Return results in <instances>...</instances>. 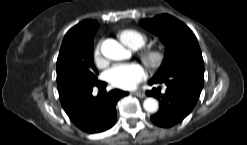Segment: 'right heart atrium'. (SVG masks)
<instances>
[{
  "label": "right heart atrium",
  "instance_id": "1",
  "mask_svg": "<svg viewBox=\"0 0 247 145\" xmlns=\"http://www.w3.org/2000/svg\"><path fill=\"white\" fill-rule=\"evenodd\" d=\"M92 58H93V62L95 63V65L97 67H104L106 64V60L104 59L102 53H101V48H100V44H98L92 53Z\"/></svg>",
  "mask_w": 247,
  "mask_h": 145
}]
</instances>
